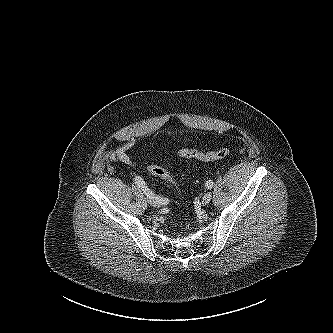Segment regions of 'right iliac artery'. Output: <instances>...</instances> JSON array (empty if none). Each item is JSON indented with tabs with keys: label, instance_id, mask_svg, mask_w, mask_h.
<instances>
[{
	"label": "right iliac artery",
	"instance_id": "1",
	"mask_svg": "<svg viewBox=\"0 0 333 333\" xmlns=\"http://www.w3.org/2000/svg\"><path fill=\"white\" fill-rule=\"evenodd\" d=\"M134 181L136 183L137 186H139L143 191L144 193L146 194L147 197L149 198H152V199H155L158 203L160 204H167L168 203V199L167 198H161L159 196H156L147 186H146V183L145 181L139 177V176H136L134 178Z\"/></svg>",
	"mask_w": 333,
	"mask_h": 333
}]
</instances>
